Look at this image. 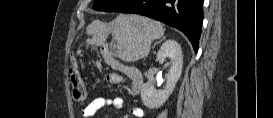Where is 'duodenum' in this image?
Listing matches in <instances>:
<instances>
[{
    "label": "duodenum",
    "mask_w": 273,
    "mask_h": 118,
    "mask_svg": "<svg viewBox=\"0 0 273 118\" xmlns=\"http://www.w3.org/2000/svg\"><path fill=\"white\" fill-rule=\"evenodd\" d=\"M104 58L112 68L120 70L129 79L131 92L133 94H138L142 90L144 80L142 73L138 68L121 64L109 55H105Z\"/></svg>",
    "instance_id": "1"
}]
</instances>
